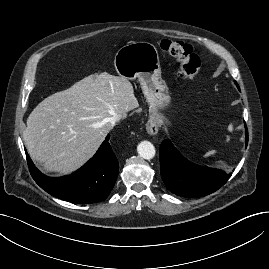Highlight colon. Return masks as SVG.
Here are the masks:
<instances>
[{"label":"colon","mask_w":269,"mask_h":269,"mask_svg":"<svg viewBox=\"0 0 269 269\" xmlns=\"http://www.w3.org/2000/svg\"><path fill=\"white\" fill-rule=\"evenodd\" d=\"M159 46L179 62L181 76L190 81L195 79L200 67V60L190 45L181 41L163 39L159 42Z\"/></svg>","instance_id":"5ec220e1"}]
</instances>
